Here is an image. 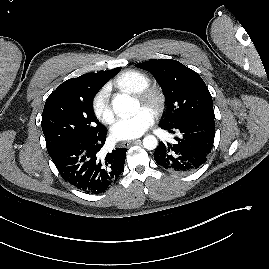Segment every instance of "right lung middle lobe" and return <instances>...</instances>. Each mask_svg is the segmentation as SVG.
I'll return each instance as SVG.
<instances>
[{
    "mask_svg": "<svg viewBox=\"0 0 269 269\" xmlns=\"http://www.w3.org/2000/svg\"><path fill=\"white\" fill-rule=\"evenodd\" d=\"M101 86L71 87L49 95L41 126L50 156L72 141L87 139L105 129L93 112V98Z\"/></svg>",
    "mask_w": 269,
    "mask_h": 269,
    "instance_id": "1",
    "label": "right lung middle lobe"
}]
</instances>
